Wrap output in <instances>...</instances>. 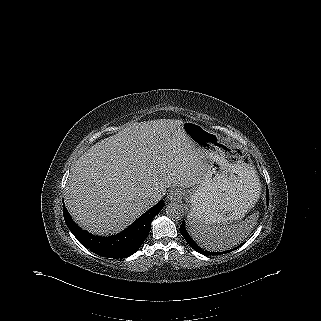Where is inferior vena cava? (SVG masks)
Returning a JSON list of instances; mask_svg holds the SVG:
<instances>
[{
	"label": "inferior vena cava",
	"instance_id": "inferior-vena-cava-1",
	"mask_svg": "<svg viewBox=\"0 0 321 321\" xmlns=\"http://www.w3.org/2000/svg\"><path fill=\"white\" fill-rule=\"evenodd\" d=\"M160 200L157 194H153L145 198V203L149 206L156 204Z\"/></svg>",
	"mask_w": 321,
	"mask_h": 321
}]
</instances>
